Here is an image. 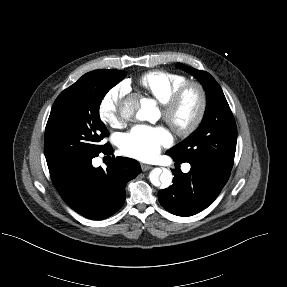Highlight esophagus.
Listing matches in <instances>:
<instances>
[{
	"mask_svg": "<svg viewBox=\"0 0 287 287\" xmlns=\"http://www.w3.org/2000/svg\"><path fill=\"white\" fill-rule=\"evenodd\" d=\"M151 168H152V166H150V165L141 164V169H142V171H147V170H149V169H151Z\"/></svg>",
	"mask_w": 287,
	"mask_h": 287,
	"instance_id": "34e87169",
	"label": "esophagus"
}]
</instances>
